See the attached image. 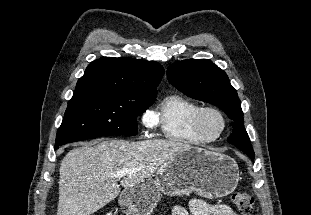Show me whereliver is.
<instances>
[{"label": "liver", "instance_id": "6515ba94", "mask_svg": "<svg viewBox=\"0 0 311 215\" xmlns=\"http://www.w3.org/2000/svg\"><path fill=\"white\" fill-rule=\"evenodd\" d=\"M192 148L174 140H106L69 151L60 166L57 215H91L125 189L150 179L164 163ZM136 169L118 184L115 174Z\"/></svg>", "mask_w": 311, "mask_h": 215}]
</instances>
